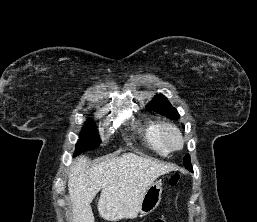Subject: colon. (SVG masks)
Instances as JSON below:
<instances>
[{
  "mask_svg": "<svg viewBox=\"0 0 257 222\" xmlns=\"http://www.w3.org/2000/svg\"><path fill=\"white\" fill-rule=\"evenodd\" d=\"M179 175L178 174H172L169 178V185L170 186H176L179 182ZM154 222H167L166 218L160 217L154 220Z\"/></svg>",
  "mask_w": 257,
  "mask_h": 222,
  "instance_id": "colon-1",
  "label": "colon"
}]
</instances>
